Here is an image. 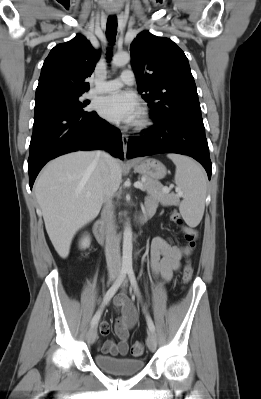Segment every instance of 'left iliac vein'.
Segmentation results:
<instances>
[{
	"instance_id": "1",
	"label": "left iliac vein",
	"mask_w": 261,
	"mask_h": 399,
	"mask_svg": "<svg viewBox=\"0 0 261 399\" xmlns=\"http://www.w3.org/2000/svg\"><path fill=\"white\" fill-rule=\"evenodd\" d=\"M127 283V281L125 280L124 285ZM146 343L148 348L151 351H154L156 349V345H157V341H156V336L153 332H149L147 339H146Z\"/></svg>"
}]
</instances>
